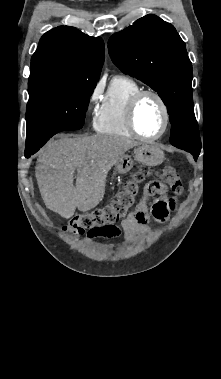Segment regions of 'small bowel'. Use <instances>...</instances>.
<instances>
[{"mask_svg": "<svg viewBox=\"0 0 221 379\" xmlns=\"http://www.w3.org/2000/svg\"><path fill=\"white\" fill-rule=\"evenodd\" d=\"M155 194H159L160 197L155 198L151 210H149L147 204L148 199ZM179 196V190L165 191L164 189H156L154 187L146 186L144 195L136 206V209L122 221L121 229L115 227L104 234H89L88 237L90 239L95 237L114 238L123 234L128 242H133L137 236L145 235L150 231L148 226L150 213L152 214L153 219L164 222L174 209V197Z\"/></svg>", "mask_w": 221, "mask_h": 379, "instance_id": "1", "label": "small bowel"}]
</instances>
